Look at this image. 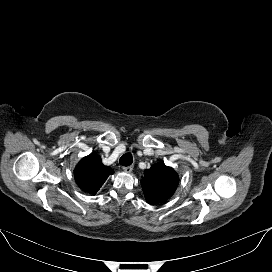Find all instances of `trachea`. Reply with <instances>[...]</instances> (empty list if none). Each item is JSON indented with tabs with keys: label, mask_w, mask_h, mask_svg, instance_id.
<instances>
[{
	"label": "trachea",
	"mask_w": 272,
	"mask_h": 272,
	"mask_svg": "<svg viewBox=\"0 0 272 272\" xmlns=\"http://www.w3.org/2000/svg\"><path fill=\"white\" fill-rule=\"evenodd\" d=\"M122 166H130L133 163V157L131 153H126L121 156L119 160Z\"/></svg>",
	"instance_id": "3493384b"
}]
</instances>
